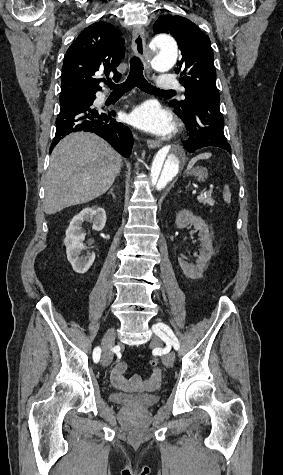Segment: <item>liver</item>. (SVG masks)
<instances>
[{
    "mask_svg": "<svg viewBox=\"0 0 283 475\" xmlns=\"http://www.w3.org/2000/svg\"><path fill=\"white\" fill-rule=\"evenodd\" d=\"M121 166L120 154L96 134H69L51 154L45 182V214H56L102 196L111 188Z\"/></svg>",
    "mask_w": 283,
    "mask_h": 475,
    "instance_id": "liver-1",
    "label": "liver"
}]
</instances>
